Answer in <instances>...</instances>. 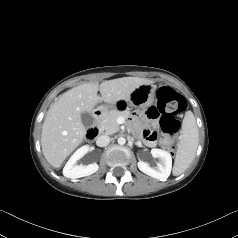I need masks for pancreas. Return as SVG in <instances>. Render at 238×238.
Segmentation results:
<instances>
[{
    "label": "pancreas",
    "mask_w": 238,
    "mask_h": 238,
    "mask_svg": "<svg viewBox=\"0 0 238 238\" xmlns=\"http://www.w3.org/2000/svg\"><path fill=\"white\" fill-rule=\"evenodd\" d=\"M129 114L130 112L128 110L124 111L111 110L100 121L98 128L101 131H105L106 134H114L118 132L120 129V126L117 123V118L118 117L127 118Z\"/></svg>",
    "instance_id": "cf45deb5"
}]
</instances>
